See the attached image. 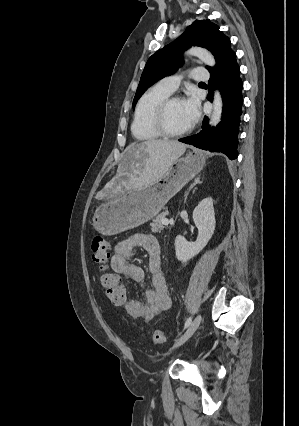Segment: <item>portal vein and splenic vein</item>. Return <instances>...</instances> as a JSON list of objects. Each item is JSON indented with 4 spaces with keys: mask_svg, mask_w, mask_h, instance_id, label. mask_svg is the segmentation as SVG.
Listing matches in <instances>:
<instances>
[{
    "mask_svg": "<svg viewBox=\"0 0 299 426\" xmlns=\"http://www.w3.org/2000/svg\"><path fill=\"white\" fill-rule=\"evenodd\" d=\"M162 223H163L164 225H168V224H169V220H168V219H166V218H164V219L162 220Z\"/></svg>",
    "mask_w": 299,
    "mask_h": 426,
    "instance_id": "obj_1",
    "label": "portal vein and splenic vein"
}]
</instances>
